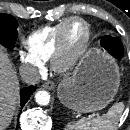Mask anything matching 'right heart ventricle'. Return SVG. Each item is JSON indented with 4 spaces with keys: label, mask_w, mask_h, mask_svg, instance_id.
Listing matches in <instances>:
<instances>
[{
    "label": "right heart ventricle",
    "mask_w": 130,
    "mask_h": 130,
    "mask_svg": "<svg viewBox=\"0 0 130 130\" xmlns=\"http://www.w3.org/2000/svg\"><path fill=\"white\" fill-rule=\"evenodd\" d=\"M69 19H65L55 25L42 27L30 33L23 44L28 53L40 62L52 58L56 49L60 32Z\"/></svg>",
    "instance_id": "e07e8e85"
}]
</instances>
